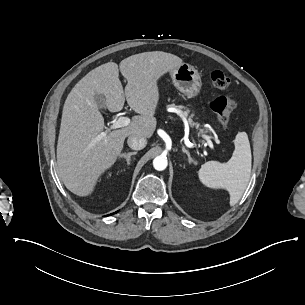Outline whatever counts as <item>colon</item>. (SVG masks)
I'll return each mask as SVG.
<instances>
[{"instance_id":"obj_1","label":"colon","mask_w":305,"mask_h":305,"mask_svg":"<svg viewBox=\"0 0 305 305\" xmlns=\"http://www.w3.org/2000/svg\"><path fill=\"white\" fill-rule=\"evenodd\" d=\"M210 79L219 90H226L230 85V78L220 70L213 71ZM210 106L217 115L218 122L226 131H229L231 112L235 108L234 102L226 96H217L210 102Z\"/></svg>"}]
</instances>
